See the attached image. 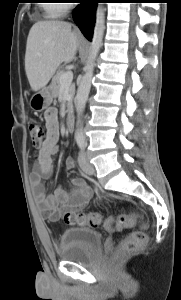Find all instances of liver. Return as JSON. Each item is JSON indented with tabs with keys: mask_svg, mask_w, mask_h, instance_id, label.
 Returning a JSON list of instances; mask_svg holds the SVG:
<instances>
[{
	"mask_svg": "<svg viewBox=\"0 0 181 300\" xmlns=\"http://www.w3.org/2000/svg\"><path fill=\"white\" fill-rule=\"evenodd\" d=\"M77 34L63 21H38L30 29L25 71L33 91L46 86L61 63H70L78 49Z\"/></svg>",
	"mask_w": 181,
	"mask_h": 300,
	"instance_id": "1",
	"label": "liver"
}]
</instances>
